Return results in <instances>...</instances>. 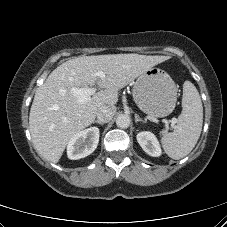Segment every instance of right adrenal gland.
Instances as JSON below:
<instances>
[{"instance_id":"right-adrenal-gland-1","label":"right adrenal gland","mask_w":227,"mask_h":227,"mask_svg":"<svg viewBox=\"0 0 227 227\" xmlns=\"http://www.w3.org/2000/svg\"><path fill=\"white\" fill-rule=\"evenodd\" d=\"M93 123H97V124H99V125H104V122H101V121H99V120H94Z\"/></svg>"}]
</instances>
